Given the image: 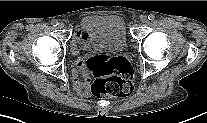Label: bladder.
<instances>
[{
	"mask_svg": "<svg viewBox=\"0 0 207 123\" xmlns=\"http://www.w3.org/2000/svg\"><path fill=\"white\" fill-rule=\"evenodd\" d=\"M76 42L85 52H117L126 46L124 20L117 15H89L78 26Z\"/></svg>",
	"mask_w": 207,
	"mask_h": 123,
	"instance_id": "1",
	"label": "bladder"
}]
</instances>
